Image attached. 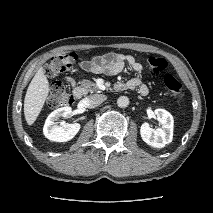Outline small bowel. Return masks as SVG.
Instances as JSON below:
<instances>
[{"label": "small bowel", "instance_id": "c3829d8e", "mask_svg": "<svg viewBox=\"0 0 213 213\" xmlns=\"http://www.w3.org/2000/svg\"><path fill=\"white\" fill-rule=\"evenodd\" d=\"M80 67L92 73H105L111 76L117 75L122 72L126 67L132 69L135 73L139 74L143 67L133 56L126 54L109 53L103 56L93 57L84 60L80 63ZM67 81L75 86L76 82L72 77H67ZM124 86V87H121ZM117 90H134L137 89L141 95H147L149 89L144 84L140 76H136L126 82H120L116 85Z\"/></svg>", "mask_w": 213, "mask_h": 213}]
</instances>
